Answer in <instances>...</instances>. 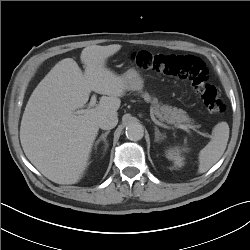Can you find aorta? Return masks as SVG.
Listing matches in <instances>:
<instances>
[{"mask_svg": "<svg viewBox=\"0 0 250 250\" xmlns=\"http://www.w3.org/2000/svg\"><path fill=\"white\" fill-rule=\"evenodd\" d=\"M126 136L132 141L141 140L144 136V128L138 122H130L126 126Z\"/></svg>", "mask_w": 250, "mask_h": 250, "instance_id": "1", "label": "aorta"}]
</instances>
